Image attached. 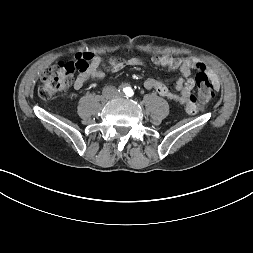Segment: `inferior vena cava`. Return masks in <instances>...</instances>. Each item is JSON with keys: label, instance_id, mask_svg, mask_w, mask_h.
<instances>
[{"label": "inferior vena cava", "instance_id": "obj_1", "mask_svg": "<svg viewBox=\"0 0 253 253\" xmlns=\"http://www.w3.org/2000/svg\"><path fill=\"white\" fill-rule=\"evenodd\" d=\"M104 93L108 98L113 97L116 93V88L114 86L107 87L104 89Z\"/></svg>", "mask_w": 253, "mask_h": 253}]
</instances>
